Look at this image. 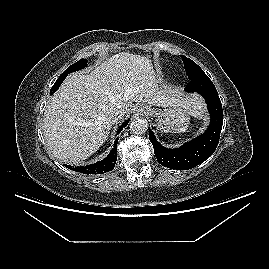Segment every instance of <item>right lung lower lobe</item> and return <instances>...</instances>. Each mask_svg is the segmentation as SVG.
<instances>
[{
  "mask_svg": "<svg viewBox=\"0 0 269 269\" xmlns=\"http://www.w3.org/2000/svg\"><path fill=\"white\" fill-rule=\"evenodd\" d=\"M67 77V75H60L59 79L54 83V85L51 88L50 94H53L61 85V83L64 81V79ZM130 119L126 120L118 129V133L129 123ZM118 137L114 142V147L110 151L109 155L94 164H90L87 166H70L65 165L67 168L80 172L87 175H97V174H103L107 173L114 169L116 160H117V143H118Z\"/></svg>",
  "mask_w": 269,
  "mask_h": 269,
  "instance_id": "98d812e1",
  "label": "right lung lower lobe"
}]
</instances>
